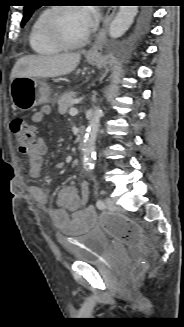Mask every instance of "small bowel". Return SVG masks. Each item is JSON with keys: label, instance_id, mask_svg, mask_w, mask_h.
Segmentation results:
<instances>
[{"label": "small bowel", "instance_id": "c3829d8e", "mask_svg": "<svg viewBox=\"0 0 184 327\" xmlns=\"http://www.w3.org/2000/svg\"><path fill=\"white\" fill-rule=\"evenodd\" d=\"M50 112L49 106H44L31 117L32 123L41 122ZM48 151V144L44 137L39 136L35 145L27 152L29 174L32 178H39L43 171V156ZM30 193L36 202L46 208L49 195L39 186H30ZM90 185L82 182L80 192L75 187L67 185L58 194L57 205L48 208L55 226L68 235L83 234L96 223V213L88 206Z\"/></svg>", "mask_w": 184, "mask_h": 327}]
</instances>
